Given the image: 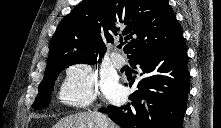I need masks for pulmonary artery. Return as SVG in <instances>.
Instances as JSON below:
<instances>
[{"label":"pulmonary artery","mask_w":221,"mask_h":128,"mask_svg":"<svg viewBox=\"0 0 221 128\" xmlns=\"http://www.w3.org/2000/svg\"><path fill=\"white\" fill-rule=\"evenodd\" d=\"M111 61L117 68H121L125 65V59L118 52L112 54Z\"/></svg>","instance_id":"obj_1"}]
</instances>
